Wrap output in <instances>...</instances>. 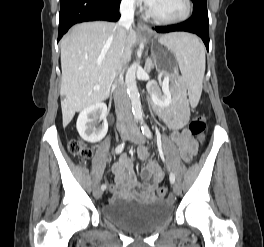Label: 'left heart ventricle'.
<instances>
[{
    "label": "left heart ventricle",
    "mask_w": 264,
    "mask_h": 247,
    "mask_svg": "<svg viewBox=\"0 0 264 247\" xmlns=\"http://www.w3.org/2000/svg\"><path fill=\"white\" fill-rule=\"evenodd\" d=\"M151 7L162 18H176L185 11L184 0H157Z\"/></svg>",
    "instance_id": "b2bd125f"
}]
</instances>
